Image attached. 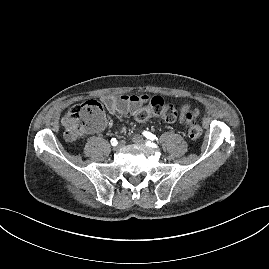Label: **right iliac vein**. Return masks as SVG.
Segmentation results:
<instances>
[{
	"mask_svg": "<svg viewBox=\"0 0 269 269\" xmlns=\"http://www.w3.org/2000/svg\"><path fill=\"white\" fill-rule=\"evenodd\" d=\"M126 145V142L124 141V140H121L120 142H119V144H115L114 146H113V150L115 151V152H118L119 150H120V147H124Z\"/></svg>",
	"mask_w": 269,
	"mask_h": 269,
	"instance_id": "right-iliac-vein-1",
	"label": "right iliac vein"
}]
</instances>
